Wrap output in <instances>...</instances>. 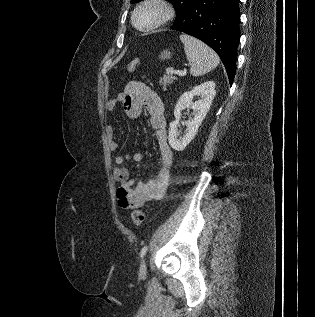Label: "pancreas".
Instances as JSON below:
<instances>
[{
	"instance_id": "obj_1",
	"label": "pancreas",
	"mask_w": 315,
	"mask_h": 317,
	"mask_svg": "<svg viewBox=\"0 0 315 317\" xmlns=\"http://www.w3.org/2000/svg\"><path fill=\"white\" fill-rule=\"evenodd\" d=\"M176 77H173L169 71L166 72V74L160 79V84L163 85L164 90L166 89V86L168 84H171L174 80H176Z\"/></svg>"
}]
</instances>
